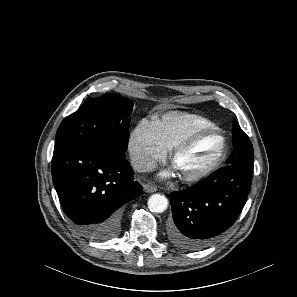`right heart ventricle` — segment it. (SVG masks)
I'll return each mask as SVG.
<instances>
[{
    "label": "right heart ventricle",
    "mask_w": 297,
    "mask_h": 297,
    "mask_svg": "<svg viewBox=\"0 0 297 297\" xmlns=\"http://www.w3.org/2000/svg\"><path fill=\"white\" fill-rule=\"evenodd\" d=\"M155 134L162 145L171 150L178 142L191 132L202 128H214L215 123L209 119L182 111H170L153 121Z\"/></svg>",
    "instance_id": "right-heart-ventricle-1"
}]
</instances>
